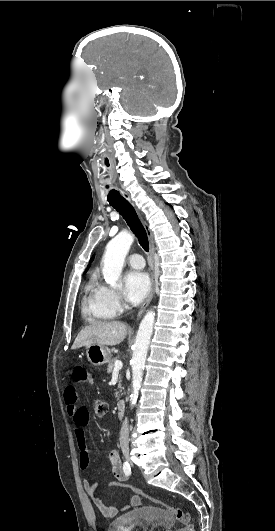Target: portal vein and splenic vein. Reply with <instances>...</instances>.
I'll return each instance as SVG.
<instances>
[{"label": "portal vein and splenic vein", "instance_id": "portal-vein-and-splenic-vein-1", "mask_svg": "<svg viewBox=\"0 0 275 531\" xmlns=\"http://www.w3.org/2000/svg\"><path fill=\"white\" fill-rule=\"evenodd\" d=\"M122 361H115L114 369H122Z\"/></svg>", "mask_w": 275, "mask_h": 531}]
</instances>
